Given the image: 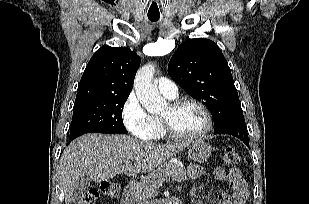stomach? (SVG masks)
I'll list each match as a JSON object with an SVG mask.
<instances>
[{
  "instance_id": "obj_1",
  "label": "stomach",
  "mask_w": 309,
  "mask_h": 204,
  "mask_svg": "<svg viewBox=\"0 0 309 204\" xmlns=\"http://www.w3.org/2000/svg\"><path fill=\"white\" fill-rule=\"evenodd\" d=\"M212 152V147L202 139H195L189 142L187 147L188 157L197 163L206 161Z\"/></svg>"
}]
</instances>
